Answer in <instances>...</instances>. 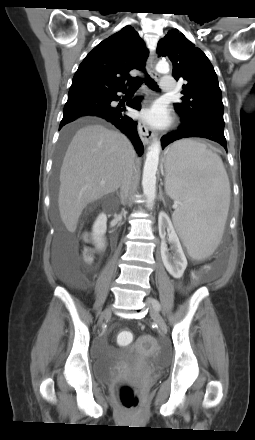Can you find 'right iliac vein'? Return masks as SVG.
Listing matches in <instances>:
<instances>
[{
  "label": "right iliac vein",
  "instance_id": "1",
  "mask_svg": "<svg viewBox=\"0 0 255 440\" xmlns=\"http://www.w3.org/2000/svg\"><path fill=\"white\" fill-rule=\"evenodd\" d=\"M111 315V307H108L104 310L103 315L101 317V323L104 319H107Z\"/></svg>",
  "mask_w": 255,
  "mask_h": 440
}]
</instances>
